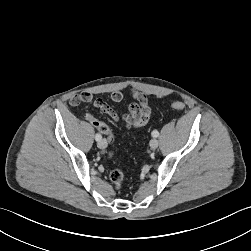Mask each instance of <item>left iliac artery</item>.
Listing matches in <instances>:
<instances>
[{"instance_id":"left-iliac-artery-1","label":"left iliac artery","mask_w":251,"mask_h":251,"mask_svg":"<svg viewBox=\"0 0 251 251\" xmlns=\"http://www.w3.org/2000/svg\"><path fill=\"white\" fill-rule=\"evenodd\" d=\"M151 134H152V136L155 137V138L159 136V132H158L157 130L152 131Z\"/></svg>"}]
</instances>
